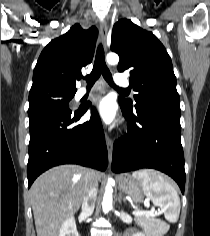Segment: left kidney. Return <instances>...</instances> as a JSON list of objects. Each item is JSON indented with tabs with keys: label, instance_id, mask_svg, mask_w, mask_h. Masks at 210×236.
Returning <instances> with one entry per match:
<instances>
[{
	"label": "left kidney",
	"instance_id": "obj_1",
	"mask_svg": "<svg viewBox=\"0 0 210 236\" xmlns=\"http://www.w3.org/2000/svg\"><path fill=\"white\" fill-rule=\"evenodd\" d=\"M144 231H145V233L138 232V233L134 234L133 236H149L148 234H146V233H148L147 232L148 230L146 228L144 229Z\"/></svg>",
	"mask_w": 210,
	"mask_h": 236
}]
</instances>
